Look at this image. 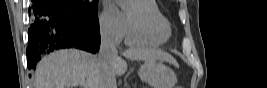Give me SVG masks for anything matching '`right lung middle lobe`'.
I'll return each instance as SVG.
<instances>
[{
    "label": "right lung middle lobe",
    "instance_id": "right-lung-middle-lobe-1",
    "mask_svg": "<svg viewBox=\"0 0 267 88\" xmlns=\"http://www.w3.org/2000/svg\"><path fill=\"white\" fill-rule=\"evenodd\" d=\"M71 8L89 17H97V0H64Z\"/></svg>",
    "mask_w": 267,
    "mask_h": 88
}]
</instances>
